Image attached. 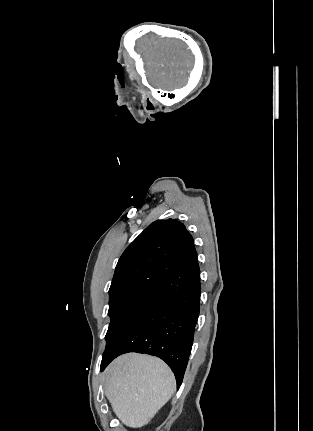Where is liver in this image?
<instances>
[{"label": "liver", "mask_w": 313, "mask_h": 431, "mask_svg": "<svg viewBox=\"0 0 313 431\" xmlns=\"http://www.w3.org/2000/svg\"><path fill=\"white\" fill-rule=\"evenodd\" d=\"M175 378L161 359L129 353L105 370V394L123 424L140 428L173 396Z\"/></svg>", "instance_id": "6515ba94"}]
</instances>
